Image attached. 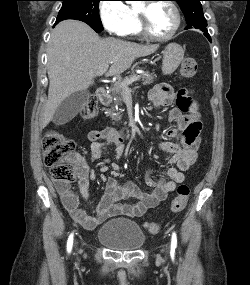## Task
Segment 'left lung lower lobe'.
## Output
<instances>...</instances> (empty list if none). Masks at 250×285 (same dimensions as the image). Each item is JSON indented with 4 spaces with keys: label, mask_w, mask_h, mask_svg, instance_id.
<instances>
[{
    "label": "left lung lower lobe",
    "mask_w": 250,
    "mask_h": 285,
    "mask_svg": "<svg viewBox=\"0 0 250 285\" xmlns=\"http://www.w3.org/2000/svg\"><path fill=\"white\" fill-rule=\"evenodd\" d=\"M204 35H205V36L207 37V39L211 42V37H210L209 33L204 32Z\"/></svg>",
    "instance_id": "left-lung-lower-lobe-1"
}]
</instances>
